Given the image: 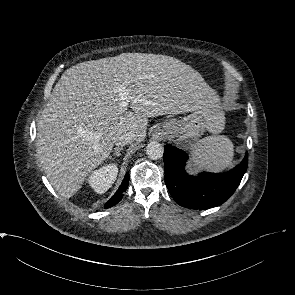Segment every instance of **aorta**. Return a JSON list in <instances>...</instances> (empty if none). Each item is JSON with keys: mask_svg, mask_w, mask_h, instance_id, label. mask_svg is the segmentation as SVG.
<instances>
[{"mask_svg": "<svg viewBox=\"0 0 295 295\" xmlns=\"http://www.w3.org/2000/svg\"><path fill=\"white\" fill-rule=\"evenodd\" d=\"M163 153L164 147L156 141L150 142L146 147V154L152 160H157L161 158L163 156Z\"/></svg>", "mask_w": 295, "mask_h": 295, "instance_id": "762f6f07", "label": "aorta"}]
</instances>
